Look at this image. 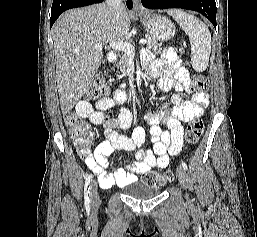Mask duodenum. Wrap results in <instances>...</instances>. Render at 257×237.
<instances>
[{"mask_svg":"<svg viewBox=\"0 0 257 237\" xmlns=\"http://www.w3.org/2000/svg\"><path fill=\"white\" fill-rule=\"evenodd\" d=\"M107 58H108L109 62H115L117 60L116 54L114 52H109L107 55ZM115 93H116V95H118L121 98H123L125 96L124 91L121 89H117L115 91Z\"/></svg>","mask_w":257,"mask_h":237,"instance_id":"obj_1","label":"duodenum"}]
</instances>
